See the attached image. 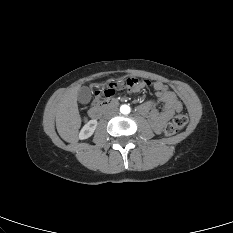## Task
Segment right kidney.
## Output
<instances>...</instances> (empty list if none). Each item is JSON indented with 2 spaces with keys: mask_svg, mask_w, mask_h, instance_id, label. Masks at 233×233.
Listing matches in <instances>:
<instances>
[{
  "mask_svg": "<svg viewBox=\"0 0 233 233\" xmlns=\"http://www.w3.org/2000/svg\"><path fill=\"white\" fill-rule=\"evenodd\" d=\"M97 120H90L87 122L79 133V139L84 140L91 137L97 127Z\"/></svg>",
  "mask_w": 233,
  "mask_h": 233,
  "instance_id": "1",
  "label": "right kidney"
}]
</instances>
